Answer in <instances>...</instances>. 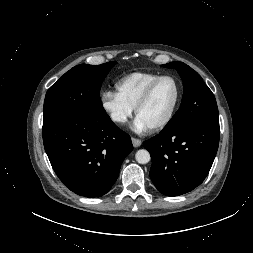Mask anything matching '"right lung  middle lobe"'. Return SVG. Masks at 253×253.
I'll list each match as a JSON object with an SVG mask.
<instances>
[{
    "label": "right lung middle lobe",
    "instance_id": "obj_1",
    "mask_svg": "<svg viewBox=\"0 0 253 253\" xmlns=\"http://www.w3.org/2000/svg\"><path fill=\"white\" fill-rule=\"evenodd\" d=\"M115 64H80L66 72L46 93L43 124L66 115L88 118L106 114L99 92L103 80Z\"/></svg>",
    "mask_w": 253,
    "mask_h": 253
}]
</instances>
